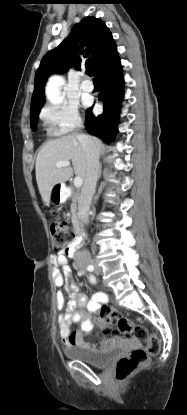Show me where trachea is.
Masks as SVG:
<instances>
[{"label": "trachea", "instance_id": "3493384b", "mask_svg": "<svg viewBox=\"0 0 187 415\" xmlns=\"http://www.w3.org/2000/svg\"><path fill=\"white\" fill-rule=\"evenodd\" d=\"M87 75L91 76V73L89 71H87Z\"/></svg>", "mask_w": 187, "mask_h": 415}]
</instances>
